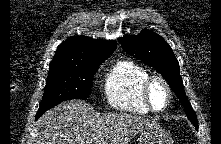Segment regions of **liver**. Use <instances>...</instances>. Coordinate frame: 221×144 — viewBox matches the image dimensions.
<instances>
[{
    "mask_svg": "<svg viewBox=\"0 0 221 144\" xmlns=\"http://www.w3.org/2000/svg\"><path fill=\"white\" fill-rule=\"evenodd\" d=\"M36 144H128L155 120L132 113H100L85 101L71 100L50 109L38 122Z\"/></svg>",
    "mask_w": 221,
    "mask_h": 144,
    "instance_id": "6515ba94",
    "label": "liver"
}]
</instances>
